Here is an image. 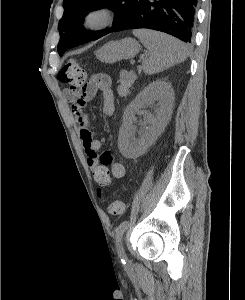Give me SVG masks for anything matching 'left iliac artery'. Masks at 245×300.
I'll return each mask as SVG.
<instances>
[{"instance_id":"obj_1","label":"left iliac artery","mask_w":245,"mask_h":300,"mask_svg":"<svg viewBox=\"0 0 245 300\" xmlns=\"http://www.w3.org/2000/svg\"><path fill=\"white\" fill-rule=\"evenodd\" d=\"M128 226H129V221L125 220L116 229V244H117V247H119L118 251H119L120 255L122 253L120 250L121 239H122L123 234L127 230ZM121 260L123 263H125V260L123 258Z\"/></svg>"}]
</instances>
